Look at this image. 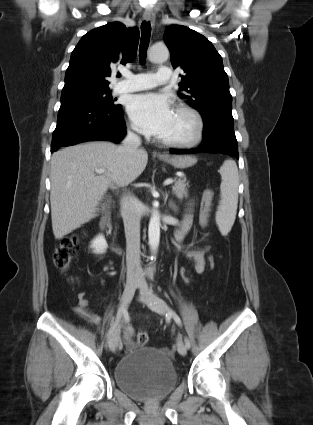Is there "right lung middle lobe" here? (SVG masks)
Listing matches in <instances>:
<instances>
[{
	"instance_id": "1",
	"label": "right lung middle lobe",
	"mask_w": 313,
	"mask_h": 425,
	"mask_svg": "<svg viewBox=\"0 0 313 425\" xmlns=\"http://www.w3.org/2000/svg\"><path fill=\"white\" fill-rule=\"evenodd\" d=\"M109 88L105 89H83V90H77L73 92H69L66 94H62V96L68 95V96H78L83 97L86 99H90L94 102H97L101 105H104L106 107L115 108L120 106L119 104H114V101L111 97V94L109 92Z\"/></svg>"
}]
</instances>
